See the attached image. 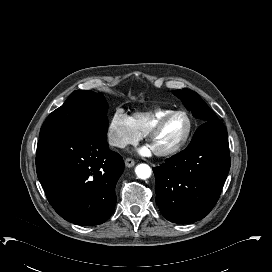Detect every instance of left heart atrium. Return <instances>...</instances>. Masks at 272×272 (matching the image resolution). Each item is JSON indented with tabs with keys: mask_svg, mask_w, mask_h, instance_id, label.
I'll return each instance as SVG.
<instances>
[{
	"mask_svg": "<svg viewBox=\"0 0 272 272\" xmlns=\"http://www.w3.org/2000/svg\"><path fill=\"white\" fill-rule=\"evenodd\" d=\"M141 154L142 155H149L151 152H153L152 148L147 145V146H144L141 150H140Z\"/></svg>",
	"mask_w": 272,
	"mask_h": 272,
	"instance_id": "39dd6f15",
	"label": "left heart atrium"
}]
</instances>
